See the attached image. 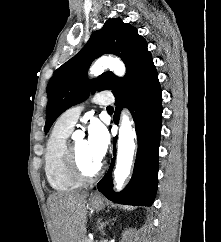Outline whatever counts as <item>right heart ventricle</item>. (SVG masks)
Instances as JSON below:
<instances>
[{"label": "right heart ventricle", "instance_id": "e07e8e85", "mask_svg": "<svg viewBox=\"0 0 221 242\" xmlns=\"http://www.w3.org/2000/svg\"><path fill=\"white\" fill-rule=\"evenodd\" d=\"M70 131L56 124L47 140L44 152V172L52 189L68 192L82 186L83 182L71 175L67 165L66 140Z\"/></svg>", "mask_w": 221, "mask_h": 242}]
</instances>
